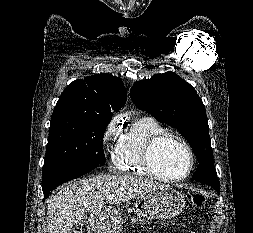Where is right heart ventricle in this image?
I'll use <instances>...</instances> for the list:
<instances>
[{"mask_svg":"<svg viewBox=\"0 0 253 233\" xmlns=\"http://www.w3.org/2000/svg\"><path fill=\"white\" fill-rule=\"evenodd\" d=\"M163 133L165 129L153 117L144 116L132 122L118 136L112 154L114 167L120 172L151 176L143 164V152L151 138Z\"/></svg>","mask_w":253,"mask_h":233,"instance_id":"right-heart-ventricle-1","label":"right heart ventricle"}]
</instances>
